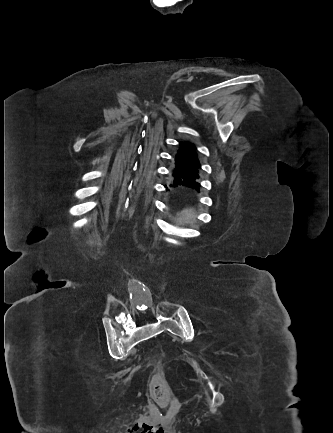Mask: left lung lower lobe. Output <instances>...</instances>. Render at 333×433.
I'll list each match as a JSON object with an SVG mask.
<instances>
[{
	"instance_id": "0a47b994",
	"label": "left lung lower lobe",
	"mask_w": 333,
	"mask_h": 433,
	"mask_svg": "<svg viewBox=\"0 0 333 433\" xmlns=\"http://www.w3.org/2000/svg\"><path fill=\"white\" fill-rule=\"evenodd\" d=\"M175 168L172 177L175 183L194 186L199 178L198 170L200 162L197 157L196 147L189 142H180L179 149L175 154Z\"/></svg>"
}]
</instances>
